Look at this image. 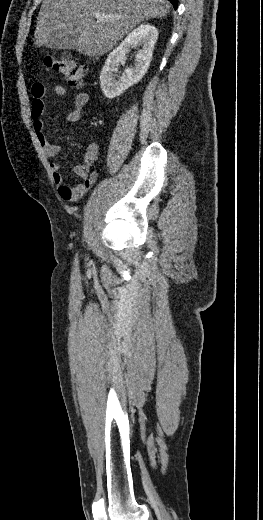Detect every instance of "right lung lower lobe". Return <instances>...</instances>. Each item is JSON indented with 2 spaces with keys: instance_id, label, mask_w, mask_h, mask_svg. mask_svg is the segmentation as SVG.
Listing matches in <instances>:
<instances>
[{
  "instance_id": "1",
  "label": "right lung lower lobe",
  "mask_w": 263,
  "mask_h": 520,
  "mask_svg": "<svg viewBox=\"0 0 263 520\" xmlns=\"http://www.w3.org/2000/svg\"><path fill=\"white\" fill-rule=\"evenodd\" d=\"M173 6H174V9H177V4H178V0H169Z\"/></svg>"
}]
</instances>
